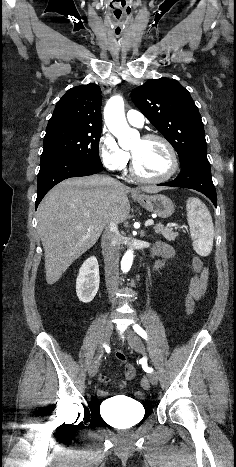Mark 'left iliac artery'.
Instances as JSON below:
<instances>
[{
	"label": "left iliac artery",
	"mask_w": 236,
	"mask_h": 467,
	"mask_svg": "<svg viewBox=\"0 0 236 467\" xmlns=\"http://www.w3.org/2000/svg\"><path fill=\"white\" fill-rule=\"evenodd\" d=\"M133 329H134V331H135L138 335H140L143 339L147 340V333L145 332V330H144L141 326H139L138 324H135V325L133 326ZM142 367H143L144 370L147 371V372H152V371H153V369H152V368H149V367L146 365V363H143Z\"/></svg>",
	"instance_id": "obj_1"
}]
</instances>
